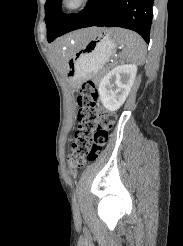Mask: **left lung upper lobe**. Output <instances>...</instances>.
<instances>
[{
	"mask_svg": "<svg viewBox=\"0 0 183 246\" xmlns=\"http://www.w3.org/2000/svg\"><path fill=\"white\" fill-rule=\"evenodd\" d=\"M62 0H47L45 3V22L47 25L48 42L53 41L66 27L74 14L66 15L61 12L60 4Z\"/></svg>",
	"mask_w": 183,
	"mask_h": 246,
	"instance_id": "5c2ea615",
	"label": "left lung upper lobe"
}]
</instances>
